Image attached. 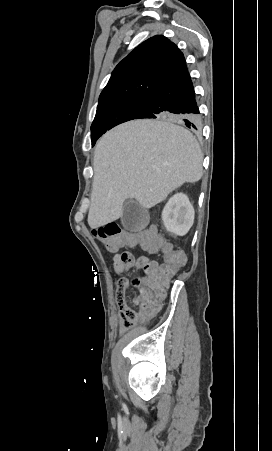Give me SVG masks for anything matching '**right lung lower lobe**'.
<instances>
[{
    "label": "right lung lower lobe",
    "instance_id": "right-lung-lower-lobe-1",
    "mask_svg": "<svg viewBox=\"0 0 272 451\" xmlns=\"http://www.w3.org/2000/svg\"><path fill=\"white\" fill-rule=\"evenodd\" d=\"M199 113L193 83L185 66L150 96L148 107L136 119L175 120L197 129Z\"/></svg>",
    "mask_w": 272,
    "mask_h": 451
}]
</instances>
